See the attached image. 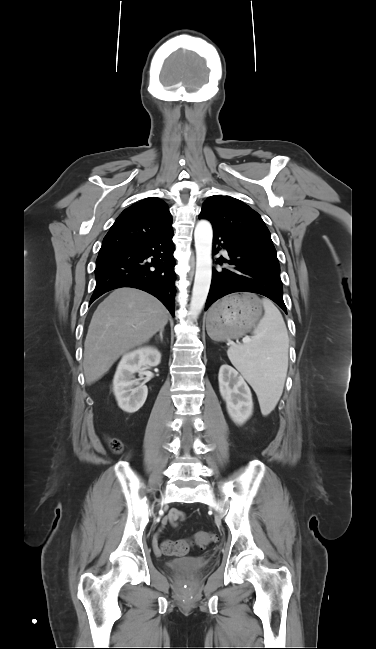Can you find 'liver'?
Here are the masks:
<instances>
[{"instance_id":"1","label":"liver","mask_w":376,"mask_h":649,"mask_svg":"<svg viewBox=\"0 0 376 649\" xmlns=\"http://www.w3.org/2000/svg\"><path fill=\"white\" fill-rule=\"evenodd\" d=\"M169 312L140 289L114 290L94 312L84 343L88 385L98 381L124 353L147 342L167 324Z\"/></svg>"}]
</instances>
